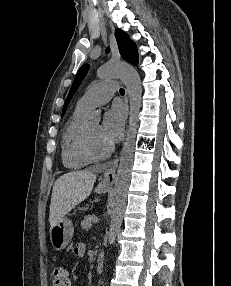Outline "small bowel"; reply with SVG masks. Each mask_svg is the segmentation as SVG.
Wrapping results in <instances>:
<instances>
[{"label":"small bowel","instance_id":"obj_1","mask_svg":"<svg viewBox=\"0 0 231 286\" xmlns=\"http://www.w3.org/2000/svg\"><path fill=\"white\" fill-rule=\"evenodd\" d=\"M85 251H86V246L84 243H77L73 247V252L78 257H82L85 254Z\"/></svg>","mask_w":231,"mask_h":286}]
</instances>
